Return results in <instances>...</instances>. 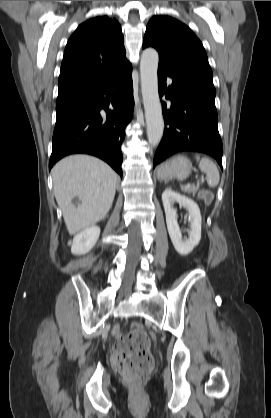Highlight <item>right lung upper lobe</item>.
<instances>
[{
    "label": "right lung upper lobe",
    "instance_id": "cb5924a9",
    "mask_svg": "<svg viewBox=\"0 0 271 418\" xmlns=\"http://www.w3.org/2000/svg\"><path fill=\"white\" fill-rule=\"evenodd\" d=\"M124 37L116 19L95 17L70 37L61 64L56 105L97 93L131 64L125 57Z\"/></svg>",
    "mask_w": 271,
    "mask_h": 418
}]
</instances>
